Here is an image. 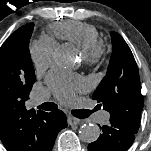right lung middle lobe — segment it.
<instances>
[{
  "instance_id": "dd1d6c3e",
  "label": "right lung middle lobe",
  "mask_w": 151,
  "mask_h": 151,
  "mask_svg": "<svg viewBox=\"0 0 151 151\" xmlns=\"http://www.w3.org/2000/svg\"><path fill=\"white\" fill-rule=\"evenodd\" d=\"M33 28V23L20 27L1 46L0 93L32 89L36 77L28 46Z\"/></svg>"
}]
</instances>
